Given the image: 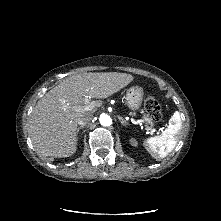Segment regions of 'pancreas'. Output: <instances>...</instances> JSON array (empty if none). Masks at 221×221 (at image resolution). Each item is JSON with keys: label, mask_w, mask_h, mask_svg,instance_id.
<instances>
[{"label": "pancreas", "mask_w": 221, "mask_h": 221, "mask_svg": "<svg viewBox=\"0 0 221 221\" xmlns=\"http://www.w3.org/2000/svg\"><path fill=\"white\" fill-rule=\"evenodd\" d=\"M144 120L146 122V127L145 129L146 130H152L153 126H154V123H153V120L148 116V115H144Z\"/></svg>", "instance_id": "1"}]
</instances>
